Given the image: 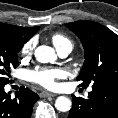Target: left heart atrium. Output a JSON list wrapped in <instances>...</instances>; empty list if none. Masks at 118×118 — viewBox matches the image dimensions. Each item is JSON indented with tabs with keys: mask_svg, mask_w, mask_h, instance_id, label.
<instances>
[{
	"mask_svg": "<svg viewBox=\"0 0 118 118\" xmlns=\"http://www.w3.org/2000/svg\"><path fill=\"white\" fill-rule=\"evenodd\" d=\"M28 80L47 89L57 87V80L64 77V71L59 68H36L27 74Z\"/></svg>",
	"mask_w": 118,
	"mask_h": 118,
	"instance_id": "39dd6f15",
	"label": "left heart atrium"
}]
</instances>
